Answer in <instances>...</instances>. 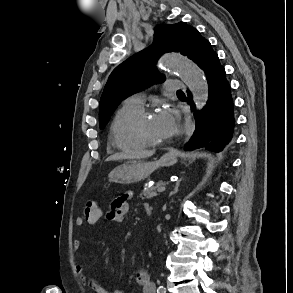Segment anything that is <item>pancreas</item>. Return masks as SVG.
<instances>
[{"mask_svg":"<svg viewBox=\"0 0 293 293\" xmlns=\"http://www.w3.org/2000/svg\"><path fill=\"white\" fill-rule=\"evenodd\" d=\"M164 183L163 182H157L155 185L151 186V187H147L146 189H144L143 191L140 192L139 197L142 199H151L156 197L158 194L156 192V190L163 186Z\"/></svg>","mask_w":293,"mask_h":293,"instance_id":"cf45deb5","label":"pancreas"}]
</instances>
